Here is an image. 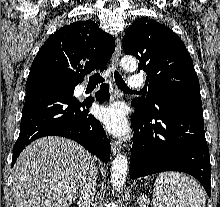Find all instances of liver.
Returning <instances> with one entry per match:
<instances>
[{
    "instance_id": "obj_1",
    "label": "liver",
    "mask_w": 220,
    "mask_h": 207,
    "mask_svg": "<svg viewBox=\"0 0 220 207\" xmlns=\"http://www.w3.org/2000/svg\"><path fill=\"white\" fill-rule=\"evenodd\" d=\"M94 160L85 148L66 138L48 136L32 142L13 167L15 206L69 207Z\"/></svg>"
}]
</instances>
